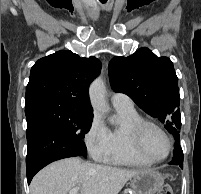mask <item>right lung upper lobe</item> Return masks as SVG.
Instances as JSON below:
<instances>
[{"instance_id": "1", "label": "right lung upper lobe", "mask_w": 201, "mask_h": 194, "mask_svg": "<svg viewBox=\"0 0 201 194\" xmlns=\"http://www.w3.org/2000/svg\"><path fill=\"white\" fill-rule=\"evenodd\" d=\"M100 70L101 62L97 58L80 57L69 50L41 58L31 68L26 104L45 98L57 99L93 115L88 88Z\"/></svg>"}]
</instances>
